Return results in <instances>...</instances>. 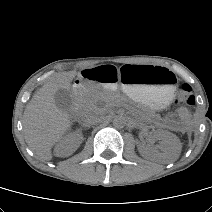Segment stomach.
<instances>
[{
	"instance_id": "0dacf381",
	"label": "stomach",
	"mask_w": 212,
	"mask_h": 212,
	"mask_svg": "<svg viewBox=\"0 0 212 212\" xmlns=\"http://www.w3.org/2000/svg\"><path fill=\"white\" fill-rule=\"evenodd\" d=\"M82 76L154 110L165 107L174 94V74L160 66L98 64L85 67Z\"/></svg>"
}]
</instances>
